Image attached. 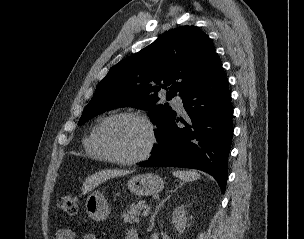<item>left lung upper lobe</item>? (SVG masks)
<instances>
[{
	"instance_id": "1",
	"label": "left lung upper lobe",
	"mask_w": 304,
	"mask_h": 239,
	"mask_svg": "<svg viewBox=\"0 0 304 239\" xmlns=\"http://www.w3.org/2000/svg\"><path fill=\"white\" fill-rule=\"evenodd\" d=\"M214 57V45L199 28L183 26L173 29L110 68L97 85L78 125L105 111L134 107L150 111L151 121L158 128V137L176 114L168 104L158 103V91L165 89L167 100L177 93L184 97Z\"/></svg>"
}]
</instances>
